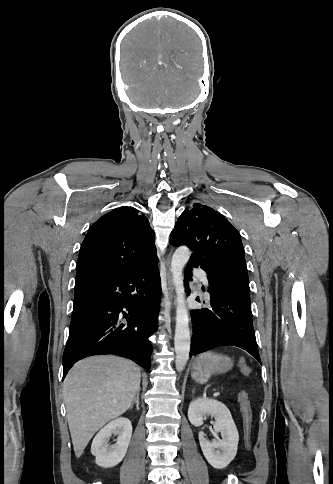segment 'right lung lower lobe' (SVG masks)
Listing matches in <instances>:
<instances>
[{"label":"right lung lower lobe","instance_id":"98d812e1","mask_svg":"<svg viewBox=\"0 0 333 484\" xmlns=\"http://www.w3.org/2000/svg\"><path fill=\"white\" fill-rule=\"evenodd\" d=\"M157 264L132 273L76 278L63 379L75 362L99 354L130 358L149 371L148 337L157 330L161 292Z\"/></svg>","mask_w":333,"mask_h":484}]
</instances>
